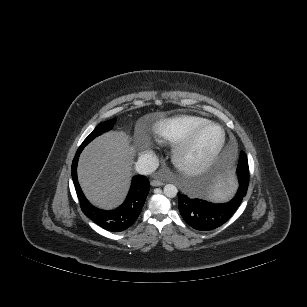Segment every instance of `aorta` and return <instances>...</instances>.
Returning a JSON list of instances; mask_svg holds the SVG:
<instances>
[{
  "label": "aorta",
  "instance_id": "aorta-1",
  "mask_svg": "<svg viewBox=\"0 0 307 307\" xmlns=\"http://www.w3.org/2000/svg\"><path fill=\"white\" fill-rule=\"evenodd\" d=\"M164 195L168 198H174L177 196L178 189L175 185L173 184H166L164 186Z\"/></svg>",
  "mask_w": 307,
  "mask_h": 307
}]
</instances>
